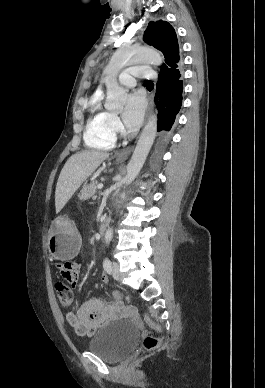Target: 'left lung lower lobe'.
Wrapping results in <instances>:
<instances>
[{
	"mask_svg": "<svg viewBox=\"0 0 265 388\" xmlns=\"http://www.w3.org/2000/svg\"><path fill=\"white\" fill-rule=\"evenodd\" d=\"M182 94V64L159 73L155 103L159 110L157 130L161 131L158 141L160 148L170 139L176 125V118L182 106Z\"/></svg>",
	"mask_w": 265,
	"mask_h": 388,
	"instance_id": "1",
	"label": "left lung lower lobe"
}]
</instances>
